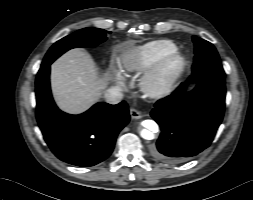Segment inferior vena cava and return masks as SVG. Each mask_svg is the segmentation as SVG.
<instances>
[{"label": "inferior vena cava", "mask_w": 253, "mask_h": 200, "mask_svg": "<svg viewBox=\"0 0 253 200\" xmlns=\"http://www.w3.org/2000/svg\"><path fill=\"white\" fill-rule=\"evenodd\" d=\"M105 101L109 104H118L123 99V93L118 87H111L104 93Z\"/></svg>", "instance_id": "1"}]
</instances>
